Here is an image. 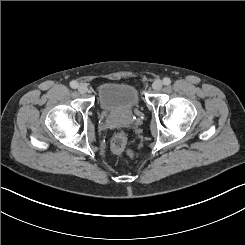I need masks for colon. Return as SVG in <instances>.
I'll list each match as a JSON object with an SVG mask.
<instances>
[{
	"label": "colon",
	"mask_w": 245,
	"mask_h": 245,
	"mask_svg": "<svg viewBox=\"0 0 245 245\" xmlns=\"http://www.w3.org/2000/svg\"><path fill=\"white\" fill-rule=\"evenodd\" d=\"M127 148V137L123 132L116 133L111 140V150L116 154H122Z\"/></svg>",
	"instance_id": "5ec220e1"
}]
</instances>
